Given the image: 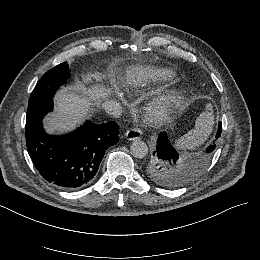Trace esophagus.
<instances>
[{"instance_id": "esophagus-1", "label": "esophagus", "mask_w": 260, "mask_h": 260, "mask_svg": "<svg viewBox=\"0 0 260 260\" xmlns=\"http://www.w3.org/2000/svg\"><path fill=\"white\" fill-rule=\"evenodd\" d=\"M143 131L139 127H133L126 132V138L128 140H137L142 137Z\"/></svg>"}]
</instances>
